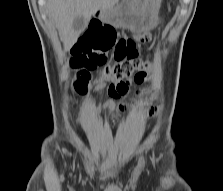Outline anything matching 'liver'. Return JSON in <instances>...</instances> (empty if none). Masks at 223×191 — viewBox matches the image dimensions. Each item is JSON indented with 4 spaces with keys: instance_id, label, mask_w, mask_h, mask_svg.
Masks as SVG:
<instances>
[{
    "instance_id": "obj_1",
    "label": "liver",
    "mask_w": 223,
    "mask_h": 191,
    "mask_svg": "<svg viewBox=\"0 0 223 191\" xmlns=\"http://www.w3.org/2000/svg\"><path fill=\"white\" fill-rule=\"evenodd\" d=\"M120 0H47L48 15L54 20L60 38L66 48L71 47L79 36L73 29L75 18L82 16L86 23L100 8L114 9Z\"/></svg>"
}]
</instances>
